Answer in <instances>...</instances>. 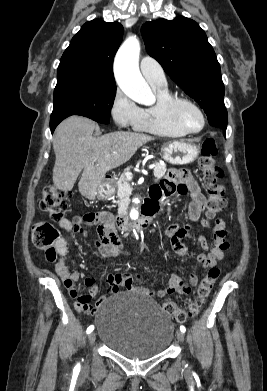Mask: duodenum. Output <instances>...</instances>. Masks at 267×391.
<instances>
[{
	"instance_id": "duodenum-1",
	"label": "duodenum",
	"mask_w": 267,
	"mask_h": 391,
	"mask_svg": "<svg viewBox=\"0 0 267 391\" xmlns=\"http://www.w3.org/2000/svg\"><path fill=\"white\" fill-rule=\"evenodd\" d=\"M157 207L153 202H148L143 208V215L137 220L131 221L125 213H119L115 219V225L120 231H125L130 228L138 230H146L150 226L151 219Z\"/></svg>"
}]
</instances>
